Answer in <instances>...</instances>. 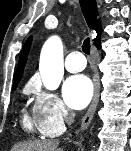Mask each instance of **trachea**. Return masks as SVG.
Masks as SVG:
<instances>
[{"instance_id":"trachea-1","label":"trachea","mask_w":131,"mask_h":151,"mask_svg":"<svg viewBox=\"0 0 131 151\" xmlns=\"http://www.w3.org/2000/svg\"><path fill=\"white\" fill-rule=\"evenodd\" d=\"M82 50L84 53H86L87 55L90 54V39L89 38H86L83 42V45H82Z\"/></svg>"}]
</instances>
